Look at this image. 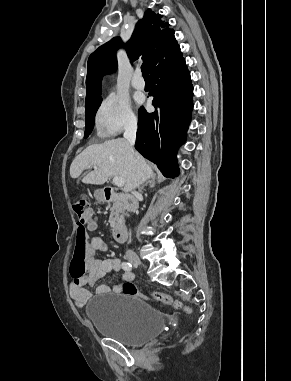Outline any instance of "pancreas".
I'll use <instances>...</instances> for the list:
<instances>
[{
	"label": "pancreas",
	"instance_id": "obj_1",
	"mask_svg": "<svg viewBox=\"0 0 291 381\" xmlns=\"http://www.w3.org/2000/svg\"><path fill=\"white\" fill-rule=\"evenodd\" d=\"M123 209L118 204H114L111 208V213L109 217V223L111 228H115L117 224L123 220Z\"/></svg>",
	"mask_w": 291,
	"mask_h": 381
}]
</instances>
